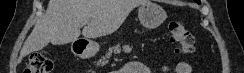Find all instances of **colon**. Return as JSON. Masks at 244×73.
I'll list each match as a JSON object with an SVG mask.
<instances>
[{
  "instance_id": "1",
  "label": "colon",
  "mask_w": 244,
  "mask_h": 73,
  "mask_svg": "<svg viewBox=\"0 0 244 73\" xmlns=\"http://www.w3.org/2000/svg\"><path fill=\"white\" fill-rule=\"evenodd\" d=\"M170 39L176 44L179 52L188 54L193 51L194 37L184 22L172 20L169 23ZM53 69V60L42 53L30 56L23 73H50Z\"/></svg>"
}]
</instances>
